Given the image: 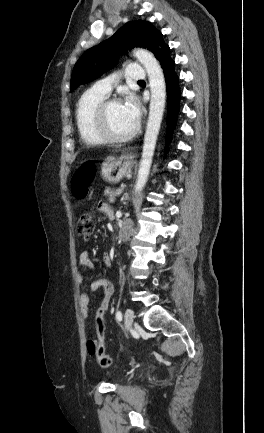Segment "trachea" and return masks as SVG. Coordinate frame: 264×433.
<instances>
[{"instance_id":"obj_1","label":"trachea","mask_w":264,"mask_h":433,"mask_svg":"<svg viewBox=\"0 0 264 433\" xmlns=\"http://www.w3.org/2000/svg\"><path fill=\"white\" fill-rule=\"evenodd\" d=\"M138 82H144V80H139Z\"/></svg>"}]
</instances>
